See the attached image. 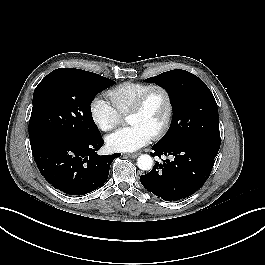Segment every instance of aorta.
I'll list each match as a JSON object with an SVG mask.
<instances>
[{
  "instance_id": "762f6f07",
  "label": "aorta",
  "mask_w": 265,
  "mask_h": 265,
  "mask_svg": "<svg viewBox=\"0 0 265 265\" xmlns=\"http://www.w3.org/2000/svg\"><path fill=\"white\" fill-rule=\"evenodd\" d=\"M137 165L139 169L148 171L153 167V159L148 154H142L137 159Z\"/></svg>"
}]
</instances>
